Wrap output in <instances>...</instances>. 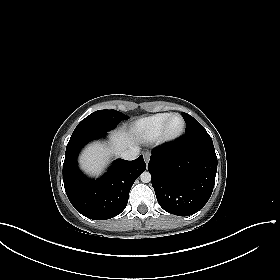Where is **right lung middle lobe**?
<instances>
[{
    "instance_id": "obj_1",
    "label": "right lung middle lobe",
    "mask_w": 280,
    "mask_h": 280,
    "mask_svg": "<svg viewBox=\"0 0 280 280\" xmlns=\"http://www.w3.org/2000/svg\"><path fill=\"white\" fill-rule=\"evenodd\" d=\"M126 119H129L127 115L116 110H98L83 119L75 128L71 137L107 132Z\"/></svg>"
}]
</instances>
